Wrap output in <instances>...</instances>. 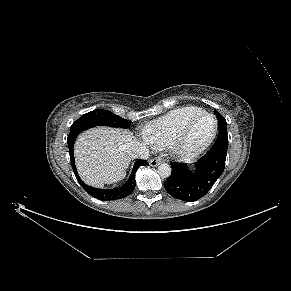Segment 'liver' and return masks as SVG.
Here are the masks:
<instances>
[{"mask_svg":"<svg viewBox=\"0 0 291 291\" xmlns=\"http://www.w3.org/2000/svg\"><path fill=\"white\" fill-rule=\"evenodd\" d=\"M132 141L133 134L124 129L95 127L83 132L75 144L82 180L94 187L121 180L131 161L128 148Z\"/></svg>","mask_w":291,"mask_h":291,"instance_id":"1","label":"liver"}]
</instances>
